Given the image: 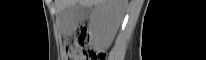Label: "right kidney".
<instances>
[{"label":"right kidney","instance_id":"obj_1","mask_svg":"<svg viewBox=\"0 0 206 60\" xmlns=\"http://www.w3.org/2000/svg\"><path fill=\"white\" fill-rule=\"evenodd\" d=\"M124 5L120 0L100 3L92 15V43L97 48H106L112 41L122 19Z\"/></svg>","mask_w":206,"mask_h":60}]
</instances>
